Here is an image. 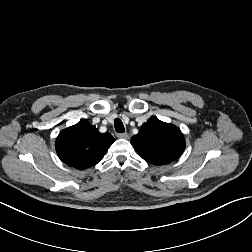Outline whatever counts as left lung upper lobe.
I'll list each match as a JSON object with an SVG mask.
<instances>
[{
	"label": "left lung upper lobe",
	"mask_w": 252,
	"mask_h": 252,
	"mask_svg": "<svg viewBox=\"0 0 252 252\" xmlns=\"http://www.w3.org/2000/svg\"><path fill=\"white\" fill-rule=\"evenodd\" d=\"M140 157L154 165H162L177 159L184 151L182 132L173 124L152 116L144 123L138 134L131 138Z\"/></svg>",
	"instance_id": "obj_1"
}]
</instances>
